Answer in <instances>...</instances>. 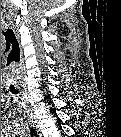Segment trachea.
Returning <instances> with one entry per match:
<instances>
[{
    "label": "trachea",
    "instance_id": "trachea-1",
    "mask_svg": "<svg viewBox=\"0 0 121 137\" xmlns=\"http://www.w3.org/2000/svg\"><path fill=\"white\" fill-rule=\"evenodd\" d=\"M4 21L3 35L10 50L5 66V76L11 81L9 85L10 91L13 94H17L18 91L15 89L13 83L15 80V66L20 61V48L13 26L7 16H5Z\"/></svg>",
    "mask_w": 121,
    "mask_h": 137
}]
</instances>
